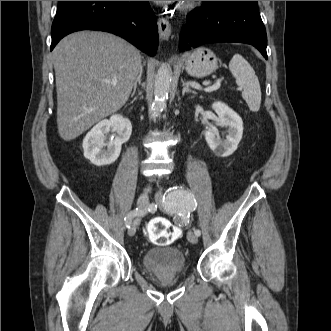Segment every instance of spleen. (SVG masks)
Returning a JSON list of instances; mask_svg holds the SVG:
<instances>
[{
    "label": "spleen",
    "instance_id": "3e777b00",
    "mask_svg": "<svg viewBox=\"0 0 331 331\" xmlns=\"http://www.w3.org/2000/svg\"><path fill=\"white\" fill-rule=\"evenodd\" d=\"M229 70L235 77L237 85L243 89L242 97L249 109L257 112L261 105V88L255 71L240 54H235L232 57Z\"/></svg>",
    "mask_w": 331,
    "mask_h": 331
}]
</instances>
